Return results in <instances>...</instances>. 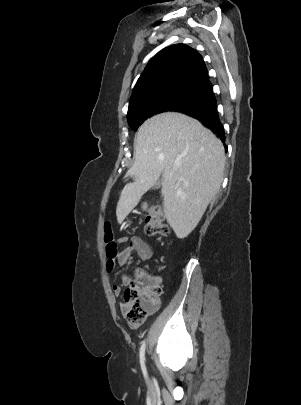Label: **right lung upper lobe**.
Returning a JSON list of instances; mask_svg holds the SVG:
<instances>
[{
  "mask_svg": "<svg viewBox=\"0 0 301 405\" xmlns=\"http://www.w3.org/2000/svg\"><path fill=\"white\" fill-rule=\"evenodd\" d=\"M180 87L214 96L202 56L185 44L164 48L149 61L137 80L128 110L143 97Z\"/></svg>",
  "mask_w": 301,
  "mask_h": 405,
  "instance_id": "cb5924a9",
  "label": "right lung upper lobe"
}]
</instances>
